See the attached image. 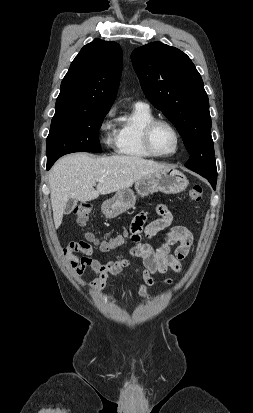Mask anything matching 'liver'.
<instances>
[{
	"label": "liver",
	"instance_id": "liver-1",
	"mask_svg": "<svg viewBox=\"0 0 253 413\" xmlns=\"http://www.w3.org/2000/svg\"><path fill=\"white\" fill-rule=\"evenodd\" d=\"M168 167L135 156L95 158L86 153L63 156L49 171L55 228L60 227L70 199L91 201L100 194L106 195L127 189L141 178Z\"/></svg>",
	"mask_w": 253,
	"mask_h": 413
}]
</instances>
